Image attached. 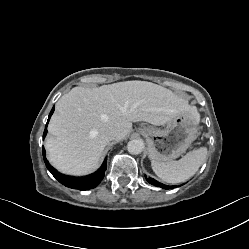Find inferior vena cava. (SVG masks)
<instances>
[{"label": "inferior vena cava", "mask_w": 249, "mask_h": 249, "mask_svg": "<svg viewBox=\"0 0 249 249\" xmlns=\"http://www.w3.org/2000/svg\"><path fill=\"white\" fill-rule=\"evenodd\" d=\"M118 136V133L114 130V129H107L105 132H104V137L107 139V140H114L116 139Z\"/></svg>", "instance_id": "1"}]
</instances>
